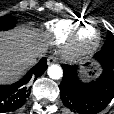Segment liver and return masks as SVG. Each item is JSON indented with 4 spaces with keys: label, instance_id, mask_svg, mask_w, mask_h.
I'll list each match as a JSON object with an SVG mask.
<instances>
[{
    "label": "liver",
    "instance_id": "liver-1",
    "mask_svg": "<svg viewBox=\"0 0 114 114\" xmlns=\"http://www.w3.org/2000/svg\"><path fill=\"white\" fill-rule=\"evenodd\" d=\"M48 45V34L25 27L0 33V84L18 80L36 62L30 55L42 57Z\"/></svg>",
    "mask_w": 114,
    "mask_h": 114
}]
</instances>
